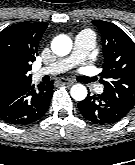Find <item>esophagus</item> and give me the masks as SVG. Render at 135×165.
I'll list each match as a JSON object with an SVG mask.
<instances>
[{
	"instance_id": "esophagus-1",
	"label": "esophagus",
	"mask_w": 135,
	"mask_h": 165,
	"mask_svg": "<svg viewBox=\"0 0 135 165\" xmlns=\"http://www.w3.org/2000/svg\"><path fill=\"white\" fill-rule=\"evenodd\" d=\"M59 82L62 84V85H67V86H71L73 84V81L70 80V79H67V78H60L59 79Z\"/></svg>"
}]
</instances>
